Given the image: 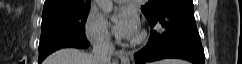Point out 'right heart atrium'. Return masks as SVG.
<instances>
[{
	"instance_id": "obj_1",
	"label": "right heart atrium",
	"mask_w": 242,
	"mask_h": 64,
	"mask_svg": "<svg viewBox=\"0 0 242 64\" xmlns=\"http://www.w3.org/2000/svg\"><path fill=\"white\" fill-rule=\"evenodd\" d=\"M84 30L87 38L95 44L106 45L111 41V35L105 19L94 12L88 14Z\"/></svg>"
}]
</instances>
